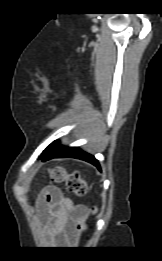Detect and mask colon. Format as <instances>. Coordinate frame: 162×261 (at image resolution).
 I'll use <instances>...</instances> for the list:
<instances>
[{
	"mask_svg": "<svg viewBox=\"0 0 162 261\" xmlns=\"http://www.w3.org/2000/svg\"><path fill=\"white\" fill-rule=\"evenodd\" d=\"M51 178L57 183H64L67 192L76 196H84L87 193V185L78 172L68 173L62 167L51 170ZM83 229V225H79Z\"/></svg>",
	"mask_w": 162,
	"mask_h": 261,
	"instance_id": "obj_1",
	"label": "colon"
}]
</instances>
